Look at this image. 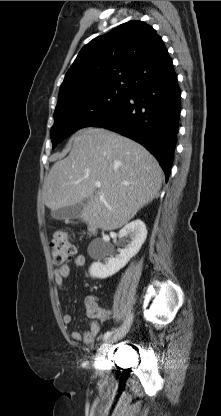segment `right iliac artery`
Returning a JSON list of instances; mask_svg holds the SVG:
<instances>
[{
  "label": "right iliac artery",
  "mask_w": 221,
  "mask_h": 416,
  "mask_svg": "<svg viewBox=\"0 0 221 416\" xmlns=\"http://www.w3.org/2000/svg\"><path fill=\"white\" fill-rule=\"evenodd\" d=\"M111 335H112V331H107L103 336V340H107L108 338H110Z\"/></svg>",
  "instance_id": "right-iliac-artery-1"
}]
</instances>
